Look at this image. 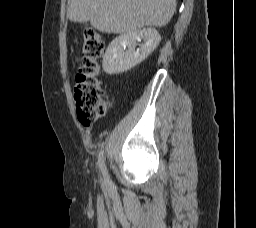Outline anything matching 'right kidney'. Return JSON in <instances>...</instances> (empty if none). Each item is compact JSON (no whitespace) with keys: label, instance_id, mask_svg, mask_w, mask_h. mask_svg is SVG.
I'll use <instances>...</instances> for the list:
<instances>
[{"label":"right kidney","instance_id":"obj_1","mask_svg":"<svg viewBox=\"0 0 256 228\" xmlns=\"http://www.w3.org/2000/svg\"><path fill=\"white\" fill-rule=\"evenodd\" d=\"M161 36L154 28L123 33L108 46L102 67L110 75L120 74L141 63L159 45ZM140 48H136L138 42ZM127 47V49H126Z\"/></svg>","mask_w":256,"mask_h":228}]
</instances>
